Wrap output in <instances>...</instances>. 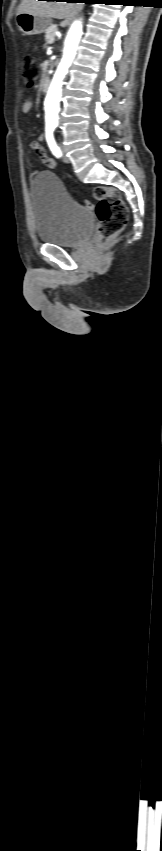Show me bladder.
Listing matches in <instances>:
<instances>
[{
    "label": "bladder",
    "instance_id": "bladder-1",
    "mask_svg": "<svg viewBox=\"0 0 162 851\" xmlns=\"http://www.w3.org/2000/svg\"><path fill=\"white\" fill-rule=\"evenodd\" d=\"M30 192L36 234L42 242L76 247L90 237L95 225L93 212L75 201L54 173L38 174Z\"/></svg>",
    "mask_w": 162,
    "mask_h": 851
}]
</instances>
